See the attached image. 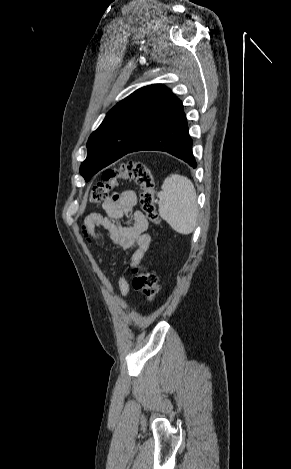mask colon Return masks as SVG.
<instances>
[{
	"label": "colon",
	"instance_id": "5ec220e1",
	"mask_svg": "<svg viewBox=\"0 0 291 469\" xmlns=\"http://www.w3.org/2000/svg\"><path fill=\"white\" fill-rule=\"evenodd\" d=\"M121 180H132L139 186L140 203L145 217L152 224L158 225L160 220L156 208L154 176L150 168L143 163L127 162L119 168L104 171L102 180L91 190L90 201L100 203L107 200ZM131 272L133 287L147 301L153 300L160 291L156 275L141 264L132 266Z\"/></svg>",
	"mask_w": 291,
	"mask_h": 469
}]
</instances>
